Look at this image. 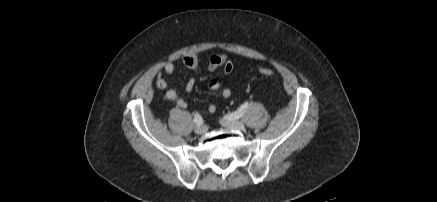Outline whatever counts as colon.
Listing matches in <instances>:
<instances>
[{"label":"colon","mask_w":437,"mask_h":202,"mask_svg":"<svg viewBox=\"0 0 437 202\" xmlns=\"http://www.w3.org/2000/svg\"><path fill=\"white\" fill-rule=\"evenodd\" d=\"M258 72L265 77H271L273 75V71L270 68H260Z\"/></svg>","instance_id":"colon-1"}]
</instances>
